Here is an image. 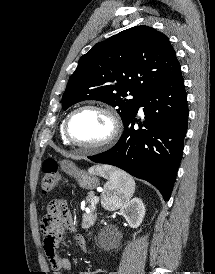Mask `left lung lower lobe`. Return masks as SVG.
Here are the masks:
<instances>
[{
  "label": "left lung lower lobe",
  "instance_id": "0a47b994",
  "mask_svg": "<svg viewBox=\"0 0 215 274\" xmlns=\"http://www.w3.org/2000/svg\"><path fill=\"white\" fill-rule=\"evenodd\" d=\"M140 106L144 107L143 122L136 118ZM187 122V95L179 69L143 97L123 122L124 132L113 148L88 158L148 181L168 201L182 158ZM136 123L139 128H134Z\"/></svg>",
  "mask_w": 215,
  "mask_h": 274
}]
</instances>
